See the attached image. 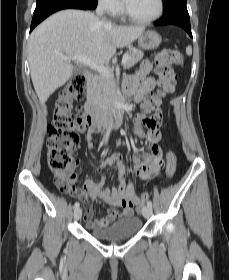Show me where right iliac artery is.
<instances>
[{
  "instance_id": "obj_1",
  "label": "right iliac artery",
  "mask_w": 229,
  "mask_h": 280,
  "mask_svg": "<svg viewBox=\"0 0 229 280\" xmlns=\"http://www.w3.org/2000/svg\"><path fill=\"white\" fill-rule=\"evenodd\" d=\"M109 134H110V132L107 131L105 143L107 142V140L109 138ZM79 206H80L79 202H76L73 207H74V209H76V208H79Z\"/></svg>"
}]
</instances>
